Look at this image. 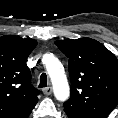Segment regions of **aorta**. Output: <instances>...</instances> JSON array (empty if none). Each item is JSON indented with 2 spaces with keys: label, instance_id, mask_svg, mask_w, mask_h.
<instances>
[{
  "label": "aorta",
  "instance_id": "obj_1",
  "mask_svg": "<svg viewBox=\"0 0 118 118\" xmlns=\"http://www.w3.org/2000/svg\"><path fill=\"white\" fill-rule=\"evenodd\" d=\"M44 64L51 78L54 96L59 101H66L70 96V88L64 72L63 65L53 55H48Z\"/></svg>",
  "mask_w": 118,
  "mask_h": 118
}]
</instances>
